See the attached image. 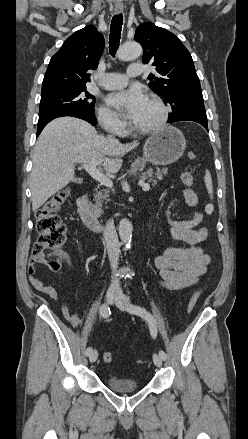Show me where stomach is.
I'll return each instance as SVG.
<instances>
[{"mask_svg": "<svg viewBox=\"0 0 248 439\" xmlns=\"http://www.w3.org/2000/svg\"><path fill=\"white\" fill-rule=\"evenodd\" d=\"M185 147L183 133L175 127L168 126L146 140L143 148L144 159L154 165H168L183 155Z\"/></svg>", "mask_w": 248, "mask_h": 439, "instance_id": "stomach-1", "label": "stomach"}]
</instances>
